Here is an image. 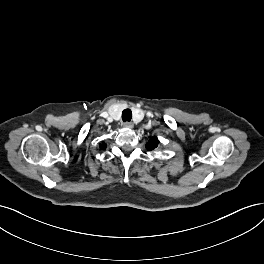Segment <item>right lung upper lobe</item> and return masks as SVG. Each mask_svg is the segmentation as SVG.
Here are the masks:
<instances>
[{
	"label": "right lung upper lobe",
	"mask_w": 264,
	"mask_h": 264,
	"mask_svg": "<svg viewBox=\"0 0 264 264\" xmlns=\"http://www.w3.org/2000/svg\"><path fill=\"white\" fill-rule=\"evenodd\" d=\"M100 148H101V149H105V148H106V144H105L104 142H102V143L100 144Z\"/></svg>",
	"instance_id": "right-lung-upper-lobe-1"
}]
</instances>
